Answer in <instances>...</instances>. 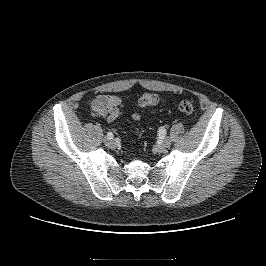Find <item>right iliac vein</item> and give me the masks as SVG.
Segmentation results:
<instances>
[{
	"label": "right iliac vein",
	"mask_w": 266,
	"mask_h": 266,
	"mask_svg": "<svg viewBox=\"0 0 266 266\" xmlns=\"http://www.w3.org/2000/svg\"><path fill=\"white\" fill-rule=\"evenodd\" d=\"M105 145L108 147V148H114L115 147V142H114V140H112V139H108V138H106L105 139Z\"/></svg>",
	"instance_id": "right-iliac-vein-1"
}]
</instances>
